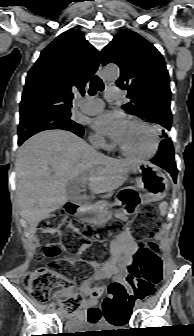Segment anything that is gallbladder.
Segmentation results:
<instances>
[{"label": "gallbladder", "mask_w": 194, "mask_h": 336, "mask_svg": "<svg viewBox=\"0 0 194 336\" xmlns=\"http://www.w3.org/2000/svg\"><path fill=\"white\" fill-rule=\"evenodd\" d=\"M67 191L69 198L76 197V195L73 194L72 188L70 186L68 187Z\"/></svg>", "instance_id": "obj_1"}]
</instances>
